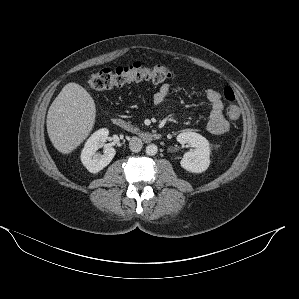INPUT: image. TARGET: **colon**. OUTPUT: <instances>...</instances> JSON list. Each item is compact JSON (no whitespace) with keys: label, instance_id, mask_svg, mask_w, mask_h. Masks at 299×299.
Masks as SVG:
<instances>
[{"label":"colon","instance_id":"1","mask_svg":"<svg viewBox=\"0 0 299 299\" xmlns=\"http://www.w3.org/2000/svg\"><path fill=\"white\" fill-rule=\"evenodd\" d=\"M175 77L174 71L167 65H145L134 63L132 65L117 67L115 69H102L93 73L87 80L89 88L97 91L108 90L122 86L129 82L148 80L160 83ZM222 99L226 102V115L232 121L239 119L240 110L235 102V94L231 87L223 89Z\"/></svg>","mask_w":299,"mask_h":299}]
</instances>
